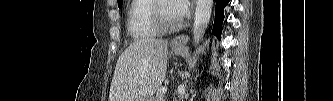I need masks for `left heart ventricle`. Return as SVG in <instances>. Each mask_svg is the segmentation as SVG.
Segmentation results:
<instances>
[{"label":"left heart ventricle","instance_id":"1","mask_svg":"<svg viewBox=\"0 0 333 101\" xmlns=\"http://www.w3.org/2000/svg\"><path fill=\"white\" fill-rule=\"evenodd\" d=\"M162 14L167 23H173L180 18L173 12L171 4L169 2L163 3Z\"/></svg>","mask_w":333,"mask_h":101}]
</instances>
